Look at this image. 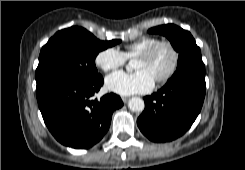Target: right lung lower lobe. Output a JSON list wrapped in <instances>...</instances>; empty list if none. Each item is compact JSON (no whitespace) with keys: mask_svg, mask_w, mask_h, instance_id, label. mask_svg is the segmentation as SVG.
I'll return each instance as SVG.
<instances>
[{"mask_svg":"<svg viewBox=\"0 0 245 170\" xmlns=\"http://www.w3.org/2000/svg\"><path fill=\"white\" fill-rule=\"evenodd\" d=\"M103 78L58 84L37 94L45 124L61 144L86 149L97 144L107 132L114 110L121 108V98L104 95L100 101L92 96L103 85Z\"/></svg>","mask_w":245,"mask_h":170,"instance_id":"obj_1","label":"right lung lower lobe"}]
</instances>
